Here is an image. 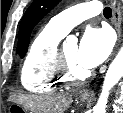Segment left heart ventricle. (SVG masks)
Wrapping results in <instances>:
<instances>
[{
	"label": "left heart ventricle",
	"instance_id": "obj_1",
	"mask_svg": "<svg viewBox=\"0 0 123 113\" xmlns=\"http://www.w3.org/2000/svg\"><path fill=\"white\" fill-rule=\"evenodd\" d=\"M77 49L78 48L76 45H66L63 48L65 56L71 67L78 72H82L85 71L86 69L80 66L77 62Z\"/></svg>",
	"mask_w": 123,
	"mask_h": 113
}]
</instances>
